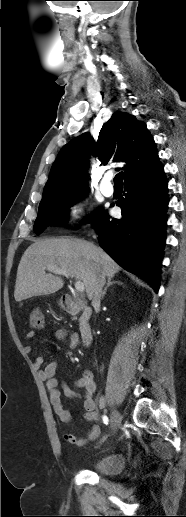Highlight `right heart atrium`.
Listing matches in <instances>:
<instances>
[{
    "label": "right heart atrium",
    "mask_w": 186,
    "mask_h": 517,
    "mask_svg": "<svg viewBox=\"0 0 186 517\" xmlns=\"http://www.w3.org/2000/svg\"><path fill=\"white\" fill-rule=\"evenodd\" d=\"M86 213V207L83 201L76 200L72 202L66 209V215L72 222L81 220Z\"/></svg>",
    "instance_id": "d8ad5b80"
}]
</instances>
